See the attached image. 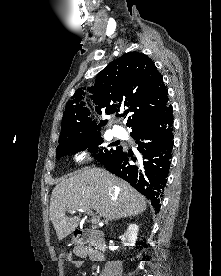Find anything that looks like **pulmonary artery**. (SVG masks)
Here are the masks:
<instances>
[{
	"mask_svg": "<svg viewBox=\"0 0 221 276\" xmlns=\"http://www.w3.org/2000/svg\"><path fill=\"white\" fill-rule=\"evenodd\" d=\"M113 134L117 137H123L124 136V130L123 128L116 126L113 128Z\"/></svg>",
	"mask_w": 221,
	"mask_h": 276,
	"instance_id": "pulmonary-artery-1",
	"label": "pulmonary artery"
}]
</instances>
